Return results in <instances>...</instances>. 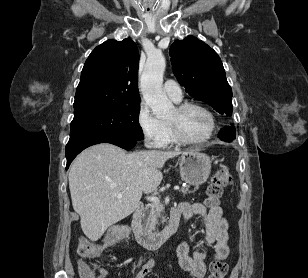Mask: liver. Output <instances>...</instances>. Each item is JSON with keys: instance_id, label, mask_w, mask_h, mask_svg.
I'll list each match as a JSON object with an SVG mask.
<instances>
[{"instance_id": "6515ba94", "label": "liver", "mask_w": 308, "mask_h": 278, "mask_svg": "<svg viewBox=\"0 0 308 278\" xmlns=\"http://www.w3.org/2000/svg\"><path fill=\"white\" fill-rule=\"evenodd\" d=\"M182 151L149 150L126 153L109 144L93 145L81 152L69 171L72 205L81 228L97 241L106 229L137 208L142 193L157 189L165 162ZM122 194L118 198V194Z\"/></svg>"}]
</instances>
